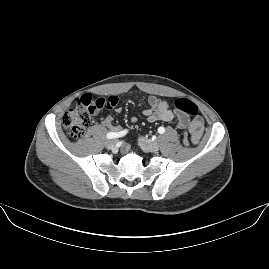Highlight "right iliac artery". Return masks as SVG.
I'll return each mask as SVG.
<instances>
[{
	"label": "right iliac artery",
	"mask_w": 269,
	"mask_h": 269,
	"mask_svg": "<svg viewBox=\"0 0 269 269\" xmlns=\"http://www.w3.org/2000/svg\"><path fill=\"white\" fill-rule=\"evenodd\" d=\"M124 133H125L124 131H121V132H119V133L109 132V133L106 135V137H107L108 139H113V138L122 136Z\"/></svg>",
	"instance_id": "1"
}]
</instances>
